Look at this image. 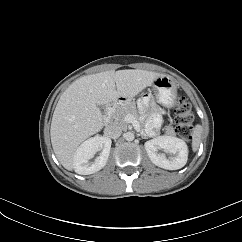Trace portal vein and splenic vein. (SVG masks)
Returning <instances> with one entry per match:
<instances>
[{
    "mask_svg": "<svg viewBox=\"0 0 242 242\" xmlns=\"http://www.w3.org/2000/svg\"><path fill=\"white\" fill-rule=\"evenodd\" d=\"M124 121L126 123H132L134 128L137 131H139V129H140L139 122L135 119V117L133 115H131V114L126 115L125 118H124Z\"/></svg>",
    "mask_w": 242,
    "mask_h": 242,
    "instance_id": "portal-vein-and-splenic-vein-1",
    "label": "portal vein and splenic vein"
}]
</instances>
